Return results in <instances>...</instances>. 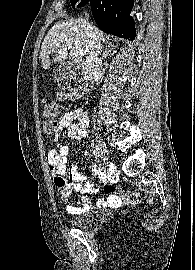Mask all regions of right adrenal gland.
Masks as SVG:
<instances>
[{
    "label": "right adrenal gland",
    "mask_w": 195,
    "mask_h": 270,
    "mask_svg": "<svg viewBox=\"0 0 195 270\" xmlns=\"http://www.w3.org/2000/svg\"><path fill=\"white\" fill-rule=\"evenodd\" d=\"M117 51L115 47H110L109 45L106 46L105 51L103 52V58L106 59L108 56L116 54Z\"/></svg>",
    "instance_id": "right-adrenal-gland-1"
}]
</instances>
